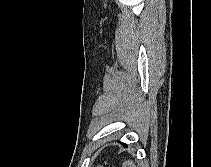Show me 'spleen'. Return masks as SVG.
Returning a JSON list of instances; mask_svg holds the SVG:
<instances>
[{"label": "spleen", "mask_w": 211, "mask_h": 167, "mask_svg": "<svg viewBox=\"0 0 211 167\" xmlns=\"http://www.w3.org/2000/svg\"><path fill=\"white\" fill-rule=\"evenodd\" d=\"M122 167H136L134 163L130 160H127L123 163Z\"/></svg>", "instance_id": "obj_1"}]
</instances>
